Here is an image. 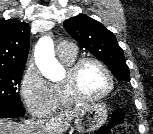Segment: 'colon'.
Masks as SVG:
<instances>
[{"instance_id":"colon-1","label":"colon","mask_w":153,"mask_h":134,"mask_svg":"<svg viewBox=\"0 0 153 134\" xmlns=\"http://www.w3.org/2000/svg\"><path fill=\"white\" fill-rule=\"evenodd\" d=\"M96 134H133V130L126 122L124 110L117 109L107 124L99 128Z\"/></svg>"}]
</instances>
